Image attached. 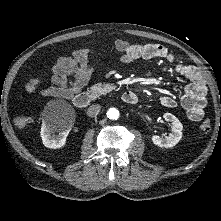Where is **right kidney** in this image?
I'll return each mask as SVG.
<instances>
[{
	"instance_id": "1",
	"label": "right kidney",
	"mask_w": 221,
	"mask_h": 221,
	"mask_svg": "<svg viewBox=\"0 0 221 221\" xmlns=\"http://www.w3.org/2000/svg\"><path fill=\"white\" fill-rule=\"evenodd\" d=\"M70 131V126L65 125L63 126L62 131L58 136H53L52 133L54 132V125L51 123H44L41 127V138L44 146L48 148H61L66 143V137Z\"/></svg>"
}]
</instances>
